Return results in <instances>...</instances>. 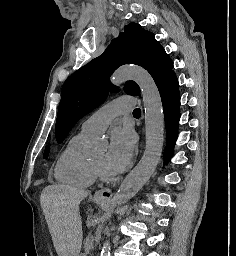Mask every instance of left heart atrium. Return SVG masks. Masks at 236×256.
<instances>
[{"mask_svg":"<svg viewBox=\"0 0 236 256\" xmlns=\"http://www.w3.org/2000/svg\"><path fill=\"white\" fill-rule=\"evenodd\" d=\"M135 146V137L131 130L117 128L110 137L106 165L110 172L118 173L129 163Z\"/></svg>","mask_w":236,"mask_h":256,"instance_id":"1","label":"left heart atrium"}]
</instances>
